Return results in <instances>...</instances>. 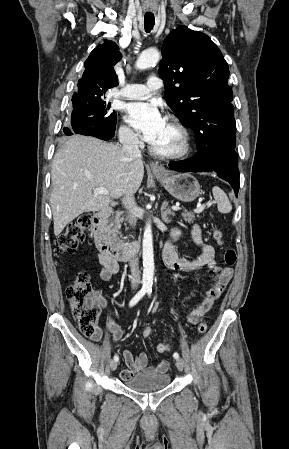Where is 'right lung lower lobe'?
Masks as SVG:
<instances>
[{
    "instance_id": "98d812e1",
    "label": "right lung lower lobe",
    "mask_w": 289,
    "mask_h": 449,
    "mask_svg": "<svg viewBox=\"0 0 289 449\" xmlns=\"http://www.w3.org/2000/svg\"><path fill=\"white\" fill-rule=\"evenodd\" d=\"M71 135L81 134V135H88V136H94L97 138H100L102 140H109L111 139L115 134V127L114 128H100L97 125H94L92 123H80L76 126L75 129L71 130Z\"/></svg>"
}]
</instances>
